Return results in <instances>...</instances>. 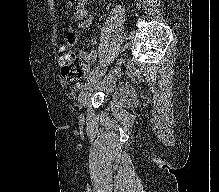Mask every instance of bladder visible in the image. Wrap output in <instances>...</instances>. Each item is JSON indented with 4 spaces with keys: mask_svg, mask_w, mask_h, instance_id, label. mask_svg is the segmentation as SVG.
<instances>
[{
    "mask_svg": "<svg viewBox=\"0 0 219 192\" xmlns=\"http://www.w3.org/2000/svg\"><path fill=\"white\" fill-rule=\"evenodd\" d=\"M135 92L126 82H117L107 95V102L122 109H130L135 102Z\"/></svg>",
    "mask_w": 219,
    "mask_h": 192,
    "instance_id": "bladder-1",
    "label": "bladder"
}]
</instances>
